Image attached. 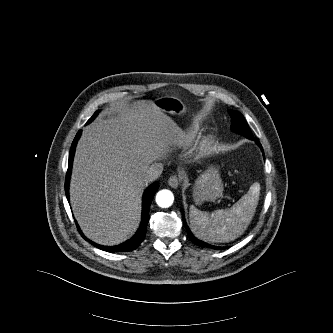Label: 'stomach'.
Returning a JSON list of instances; mask_svg holds the SVG:
<instances>
[{
	"instance_id": "stomach-1",
	"label": "stomach",
	"mask_w": 333,
	"mask_h": 333,
	"mask_svg": "<svg viewBox=\"0 0 333 333\" xmlns=\"http://www.w3.org/2000/svg\"><path fill=\"white\" fill-rule=\"evenodd\" d=\"M154 103L162 111L172 115H182L186 110L184 103L173 96L158 98ZM222 192V180L218 170L213 166L200 175L193 187V197L196 204H201L204 201H213L219 198Z\"/></svg>"
}]
</instances>
